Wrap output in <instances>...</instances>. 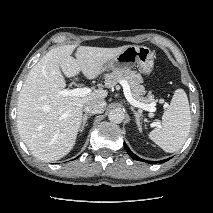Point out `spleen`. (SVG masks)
<instances>
[{
  "label": "spleen",
  "instance_id": "3e777b00",
  "mask_svg": "<svg viewBox=\"0 0 213 213\" xmlns=\"http://www.w3.org/2000/svg\"><path fill=\"white\" fill-rule=\"evenodd\" d=\"M191 125L188 97L178 88L162 116V123L149 133V138L164 151L173 153L185 143Z\"/></svg>",
  "mask_w": 213,
  "mask_h": 213
}]
</instances>
